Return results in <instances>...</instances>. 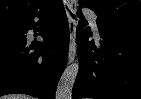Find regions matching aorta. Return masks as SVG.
Segmentation results:
<instances>
[{
  "instance_id": "aorta-1",
  "label": "aorta",
  "mask_w": 141,
  "mask_h": 99,
  "mask_svg": "<svg viewBox=\"0 0 141 99\" xmlns=\"http://www.w3.org/2000/svg\"><path fill=\"white\" fill-rule=\"evenodd\" d=\"M79 71V62L67 66L62 73L56 90V99H72V89Z\"/></svg>"
}]
</instances>
